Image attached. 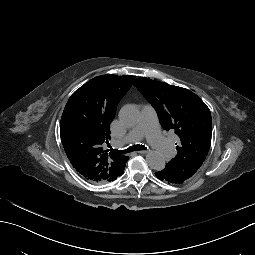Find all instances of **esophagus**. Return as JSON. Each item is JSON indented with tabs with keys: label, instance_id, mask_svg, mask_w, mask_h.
I'll return each instance as SVG.
<instances>
[{
	"label": "esophagus",
	"instance_id": "34e87169",
	"mask_svg": "<svg viewBox=\"0 0 255 255\" xmlns=\"http://www.w3.org/2000/svg\"><path fill=\"white\" fill-rule=\"evenodd\" d=\"M137 153H139V154H146V153H148V151L147 150H140V151H137Z\"/></svg>",
	"mask_w": 255,
	"mask_h": 255
}]
</instances>
